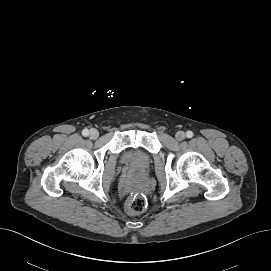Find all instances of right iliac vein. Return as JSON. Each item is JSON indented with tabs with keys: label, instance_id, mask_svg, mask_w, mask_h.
<instances>
[{
	"label": "right iliac vein",
	"instance_id": "63e3f726",
	"mask_svg": "<svg viewBox=\"0 0 271 271\" xmlns=\"http://www.w3.org/2000/svg\"><path fill=\"white\" fill-rule=\"evenodd\" d=\"M89 136L92 138V139H97L98 136H99V132L98 130L96 129H91L90 132H89Z\"/></svg>",
	"mask_w": 271,
	"mask_h": 271
}]
</instances>
